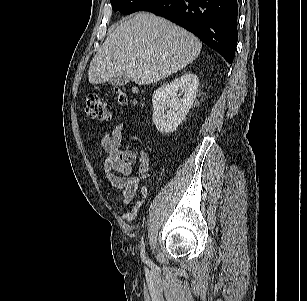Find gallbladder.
<instances>
[{
    "instance_id": "1",
    "label": "gallbladder",
    "mask_w": 307,
    "mask_h": 301,
    "mask_svg": "<svg viewBox=\"0 0 307 301\" xmlns=\"http://www.w3.org/2000/svg\"><path fill=\"white\" fill-rule=\"evenodd\" d=\"M130 78L123 74H117L113 76L110 80L111 84L116 87H121L129 83Z\"/></svg>"
}]
</instances>
